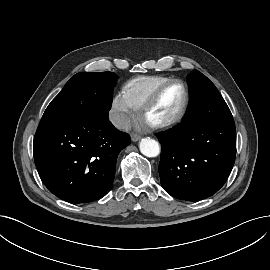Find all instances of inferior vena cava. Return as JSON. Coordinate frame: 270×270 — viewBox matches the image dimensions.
<instances>
[{"instance_id":"inferior-vena-cava-1","label":"inferior vena cava","mask_w":270,"mask_h":270,"mask_svg":"<svg viewBox=\"0 0 270 270\" xmlns=\"http://www.w3.org/2000/svg\"><path fill=\"white\" fill-rule=\"evenodd\" d=\"M109 118L113 125L119 130H129L131 128L130 119L124 113L112 112Z\"/></svg>"}]
</instances>
